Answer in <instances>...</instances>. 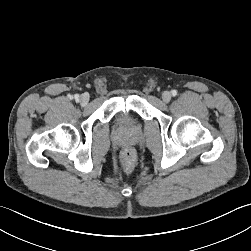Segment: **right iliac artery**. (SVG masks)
<instances>
[{
  "label": "right iliac artery",
  "mask_w": 251,
  "mask_h": 251,
  "mask_svg": "<svg viewBox=\"0 0 251 251\" xmlns=\"http://www.w3.org/2000/svg\"><path fill=\"white\" fill-rule=\"evenodd\" d=\"M74 97H75V99H76V100H78V98H79V95H77V94H76V95H75Z\"/></svg>",
  "instance_id": "1"
}]
</instances>
